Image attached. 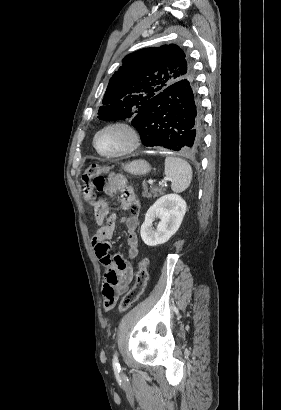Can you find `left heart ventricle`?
Returning a JSON list of instances; mask_svg holds the SVG:
<instances>
[{"mask_svg":"<svg viewBox=\"0 0 281 410\" xmlns=\"http://www.w3.org/2000/svg\"><path fill=\"white\" fill-rule=\"evenodd\" d=\"M128 142L127 134L119 129L104 131L97 138L98 148L108 154L122 151L127 147Z\"/></svg>","mask_w":281,"mask_h":410,"instance_id":"1","label":"left heart ventricle"}]
</instances>
